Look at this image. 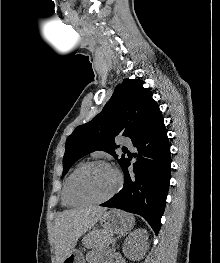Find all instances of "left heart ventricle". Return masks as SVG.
<instances>
[{
  "label": "left heart ventricle",
  "mask_w": 220,
  "mask_h": 263,
  "mask_svg": "<svg viewBox=\"0 0 220 263\" xmlns=\"http://www.w3.org/2000/svg\"><path fill=\"white\" fill-rule=\"evenodd\" d=\"M116 182V175L110 167L94 165L76 176L72 192L78 200H95L111 192Z\"/></svg>",
  "instance_id": "obj_1"
}]
</instances>
